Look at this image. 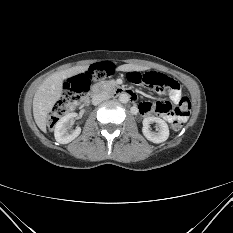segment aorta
I'll return each instance as SVG.
<instances>
[{
    "mask_svg": "<svg viewBox=\"0 0 233 233\" xmlns=\"http://www.w3.org/2000/svg\"><path fill=\"white\" fill-rule=\"evenodd\" d=\"M129 99H130V96H129V94H127V93H122V94H120V96H119V101H120L121 103H127V102L129 101Z\"/></svg>",
    "mask_w": 233,
    "mask_h": 233,
    "instance_id": "aorta-1",
    "label": "aorta"
}]
</instances>
